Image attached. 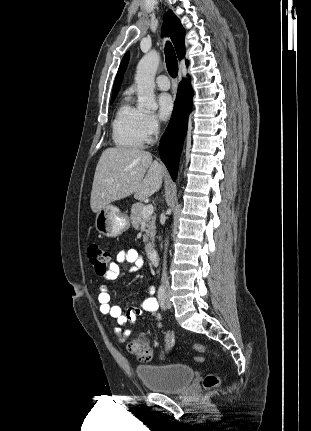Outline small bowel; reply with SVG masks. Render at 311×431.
Here are the masks:
<instances>
[{
  "label": "small bowel",
  "mask_w": 311,
  "mask_h": 431,
  "mask_svg": "<svg viewBox=\"0 0 311 431\" xmlns=\"http://www.w3.org/2000/svg\"><path fill=\"white\" fill-rule=\"evenodd\" d=\"M143 264V258L137 249L132 248L120 251L114 256L113 261L109 263L105 277L108 280H115L122 271L135 273L142 268ZM154 292V286H149L147 290L148 296L138 306L129 308L124 313L120 306L113 305L111 303V295L108 288L106 285H102L97 297L100 312L116 319L118 327L133 323L137 317L142 316L145 313L156 315L160 302L154 296ZM130 334V330H125L120 333V339L124 341L130 336Z\"/></svg>",
  "instance_id": "1"
}]
</instances>
